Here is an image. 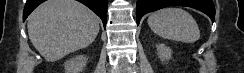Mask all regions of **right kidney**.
<instances>
[{
	"instance_id": "1",
	"label": "right kidney",
	"mask_w": 244,
	"mask_h": 73,
	"mask_svg": "<svg viewBox=\"0 0 244 73\" xmlns=\"http://www.w3.org/2000/svg\"><path fill=\"white\" fill-rule=\"evenodd\" d=\"M86 60L84 55H78L69 59L64 63L66 73H80L86 66Z\"/></svg>"
}]
</instances>
